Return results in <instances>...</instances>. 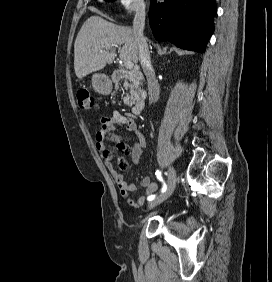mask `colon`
Wrapping results in <instances>:
<instances>
[{"label": "colon", "instance_id": "5ec220e1", "mask_svg": "<svg viewBox=\"0 0 272 282\" xmlns=\"http://www.w3.org/2000/svg\"><path fill=\"white\" fill-rule=\"evenodd\" d=\"M76 100H77V105L80 109L89 110V109H93L96 107L95 98L91 95V93L87 89H80L77 92ZM105 136H107V133L104 131L102 134V137L104 138ZM117 149L120 151H125L126 146L123 143H118ZM104 155L107 157L108 152L105 151ZM120 166L122 169L126 168L125 163H120Z\"/></svg>", "mask_w": 272, "mask_h": 282}]
</instances>
